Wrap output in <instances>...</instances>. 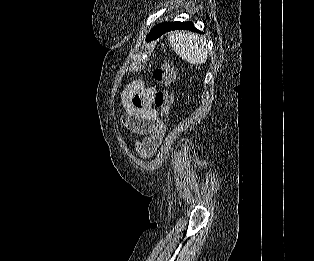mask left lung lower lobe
I'll return each mask as SVG.
<instances>
[{"instance_id": "obj_1", "label": "left lung lower lobe", "mask_w": 314, "mask_h": 261, "mask_svg": "<svg viewBox=\"0 0 314 261\" xmlns=\"http://www.w3.org/2000/svg\"><path fill=\"white\" fill-rule=\"evenodd\" d=\"M171 30H189L193 32H199L191 22H172L166 23L157 33L154 34L151 40H155L156 38L160 37L163 33Z\"/></svg>"}]
</instances>
